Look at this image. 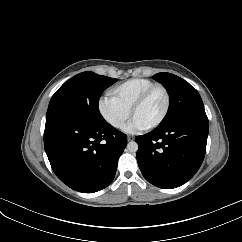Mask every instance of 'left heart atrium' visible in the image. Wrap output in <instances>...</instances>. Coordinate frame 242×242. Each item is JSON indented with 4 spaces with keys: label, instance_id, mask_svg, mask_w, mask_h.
<instances>
[{
    "label": "left heart atrium",
    "instance_id": "39dd6f15",
    "mask_svg": "<svg viewBox=\"0 0 242 242\" xmlns=\"http://www.w3.org/2000/svg\"><path fill=\"white\" fill-rule=\"evenodd\" d=\"M147 127L139 122L137 119L133 118L132 121L126 126L125 130L129 133H135L138 131L145 130Z\"/></svg>",
    "mask_w": 242,
    "mask_h": 242
}]
</instances>
